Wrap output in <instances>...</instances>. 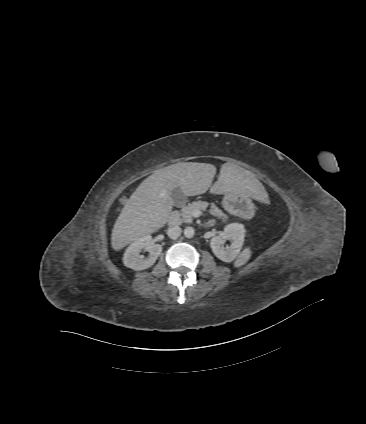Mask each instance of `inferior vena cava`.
<instances>
[{
	"instance_id": "inferior-vena-cava-1",
	"label": "inferior vena cava",
	"mask_w": 366,
	"mask_h": 424,
	"mask_svg": "<svg viewBox=\"0 0 366 424\" xmlns=\"http://www.w3.org/2000/svg\"><path fill=\"white\" fill-rule=\"evenodd\" d=\"M181 228L179 226H172L169 227L167 230V235L171 238V239H176L181 235Z\"/></svg>"
}]
</instances>
